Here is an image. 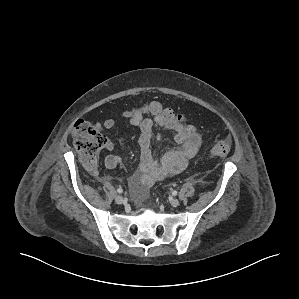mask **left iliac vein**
Instances as JSON below:
<instances>
[{"label":"left iliac vein","mask_w":299,"mask_h":299,"mask_svg":"<svg viewBox=\"0 0 299 299\" xmlns=\"http://www.w3.org/2000/svg\"><path fill=\"white\" fill-rule=\"evenodd\" d=\"M171 205L173 207H177L179 205V200L176 199V198H173L171 201H170Z\"/></svg>","instance_id":"left-iliac-vein-1"}]
</instances>
